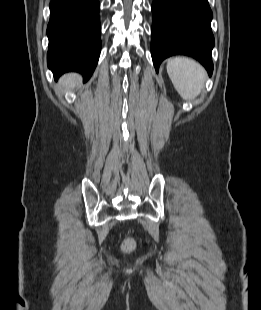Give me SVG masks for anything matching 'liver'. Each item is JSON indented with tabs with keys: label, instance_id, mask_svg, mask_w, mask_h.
Listing matches in <instances>:
<instances>
[{
	"label": "liver",
	"instance_id": "liver-1",
	"mask_svg": "<svg viewBox=\"0 0 261 310\" xmlns=\"http://www.w3.org/2000/svg\"><path fill=\"white\" fill-rule=\"evenodd\" d=\"M79 77L76 74H69L62 78V84L66 87L73 88L78 84Z\"/></svg>",
	"mask_w": 261,
	"mask_h": 310
}]
</instances>
